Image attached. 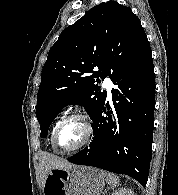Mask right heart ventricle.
I'll return each instance as SVG.
<instances>
[{"label": "right heart ventricle", "instance_id": "e07e8e85", "mask_svg": "<svg viewBox=\"0 0 178 195\" xmlns=\"http://www.w3.org/2000/svg\"><path fill=\"white\" fill-rule=\"evenodd\" d=\"M58 122H59V121H58ZM58 122H56V123L53 125V127H52L50 140L52 139L53 132H54V130H55V128H56ZM51 145H52V143H51ZM52 148H53V147H52ZM53 149H54V148H53Z\"/></svg>", "mask_w": 178, "mask_h": 195}]
</instances>
